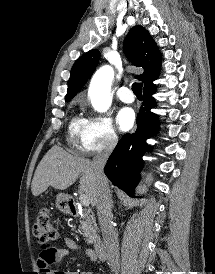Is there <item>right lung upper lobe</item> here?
Instances as JSON below:
<instances>
[{"label":"right lung upper lobe","instance_id":"right-lung-upper-lobe-1","mask_svg":"<svg viewBox=\"0 0 215 274\" xmlns=\"http://www.w3.org/2000/svg\"><path fill=\"white\" fill-rule=\"evenodd\" d=\"M124 51L128 59L138 67L144 68V73L137 76L144 87L155 86L161 67V53L156 43L142 26L133 27L124 42ZM100 58L98 50L93 49L81 56L73 65L68 83L66 101H70L83 87L93 73Z\"/></svg>","mask_w":215,"mask_h":274}]
</instances>
